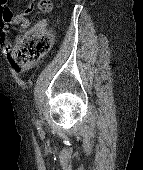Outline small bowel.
<instances>
[{
  "label": "small bowel",
  "mask_w": 143,
  "mask_h": 170,
  "mask_svg": "<svg viewBox=\"0 0 143 170\" xmlns=\"http://www.w3.org/2000/svg\"><path fill=\"white\" fill-rule=\"evenodd\" d=\"M33 9V3H29L23 12L14 14L10 21L0 22V40L5 43L6 57L12 67V70L18 75L31 70L37 62H19L16 60L15 50L19 44V40H16L14 43L8 40L10 27L18 25L19 32H24L29 26L28 16L32 13Z\"/></svg>",
  "instance_id": "obj_1"
}]
</instances>
